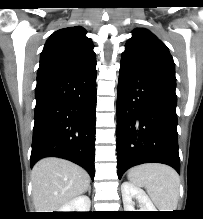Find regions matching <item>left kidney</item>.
<instances>
[{
  "label": "left kidney",
  "mask_w": 203,
  "mask_h": 219,
  "mask_svg": "<svg viewBox=\"0 0 203 219\" xmlns=\"http://www.w3.org/2000/svg\"><path fill=\"white\" fill-rule=\"evenodd\" d=\"M121 192L125 211H136L132 198H136L139 202L140 209L138 211H156L150 198L138 186H135L130 182H123L121 185Z\"/></svg>",
  "instance_id": "left-kidney-1"
}]
</instances>
